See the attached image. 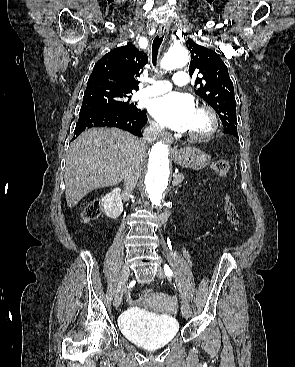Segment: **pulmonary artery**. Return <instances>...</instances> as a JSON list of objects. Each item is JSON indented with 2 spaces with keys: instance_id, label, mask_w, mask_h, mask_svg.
Listing matches in <instances>:
<instances>
[{
  "instance_id": "1",
  "label": "pulmonary artery",
  "mask_w": 295,
  "mask_h": 367,
  "mask_svg": "<svg viewBox=\"0 0 295 367\" xmlns=\"http://www.w3.org/2000/svg\"><path fill=\"white\" fill-rule=\"evenodd\" d=\"M173 82L177 86H185L189 83V75L185 71H178L173 76ZM172 85L167 80H155L152 81V84L143 90L136 93V99H144L151 98L162 95L168 91H170Z\"/></svg>"
}]
</instances>
